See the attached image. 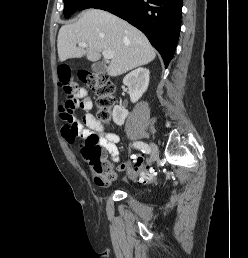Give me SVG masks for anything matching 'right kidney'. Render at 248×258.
Returning a JSON list of instances; mask_svg holds the SVG:
<instances>
[{
	"instance_id": "ca27d5eb",
	"label": "right kidney",
	"mask_w": 248,
	"mask_h": 258,
	"mask_svg": "<svg viewBox=\"0 0 248 258\" xmlns=\"http://www.w3.org/2000/svg\"><path fill=\"white\" fill-rule=\"evenodd\" d=\"M123 83L128 87L131 102L136 103L148 88L149 70L143 67L137 68L124 77ZM128 114L124 107L116 105L112 113L114 123L123 125Z\"/></svg>"
}]
</instances>
